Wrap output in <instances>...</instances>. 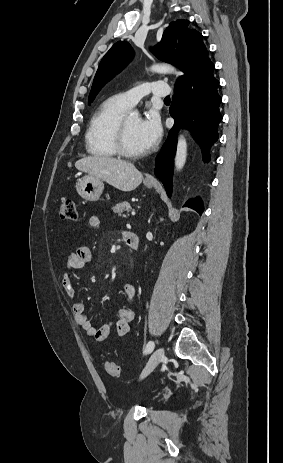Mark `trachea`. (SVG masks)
<instances>
[{"label":"trachea","instance_id":"1","mask_svg":"<svg viewBox=\"0 0 283 463\" xmlns=\"http://www.w3.org/2000/svg\"><path fill=\"white\" fill-rule=\"evenodd\" d=\"M165 101H170V96H167V97L165 98Z\"/></svg>","mask_w":283,"mask_h":463}]
</instances>
